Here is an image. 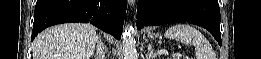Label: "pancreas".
<instances>
[{"label": "pancreas", "instance_id": "1", "mask_svg": "<svg viewBox=\"0 0 261 59\" xmlns=\"http://www.w3.org/2000/svg\"><path fill=\"white\" fill-rule=\"evenodd\" d=\"M173 59H179V58H177V57H173Z\"/></svg>", "mask_w": 261, "mask_h": 59}]
</instances>
